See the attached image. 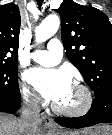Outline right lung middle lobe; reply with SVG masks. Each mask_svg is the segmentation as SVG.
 <instances>
[{"label":"right lung middle lobe","mask_w":112,"mask_h":135,"mask_svg":"<svg viewBox=\"0 0 112 135\" xmlns=\"http://www.w3.org/2000/svg\"><path fill=\"white\" fill-rule=\"evenodd\" d=\"M17 62H0V98H20Z\"/></svg>","instance_id":"1"}]
</instances>
